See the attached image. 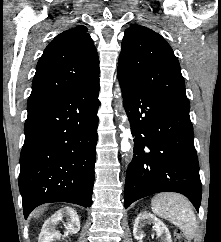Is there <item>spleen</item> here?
I'll use <instances>...</instances> for the list:
<instances>
[{
  "mask_svg": "<svg viewBox=\"0 0 221 242\" xmlns=\"http://www.w3.org/2000/svg\"><path fill=\"white\" fill-rule=\"evenodd\" d=\"M151 209L154 214L181 229L190 239L196 236V217L191 203L183 195L177 193L157 194L151 200Z\"/></svg>",
  "mask_w": 221,
  "mask_h": 242,
  "instance_id": "3e777b00",
  "label": "spleen"
}]
</instances>
